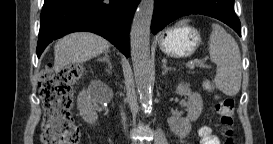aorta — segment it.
Instances as JSON below:
<instances>
[{"label":"aorta","mask_w":273,"mask_h":144,"mask_svg":"<svg viewBox=\"0 0 273 144\" xmlns=\"http://www.w3.org/2000/svg\"><path fill=\"white\" fill-rule=\"evenodd\" d=\"M153 11L154 0H141L135 12L130 32L134 77L140 103L147 111H149L152 106L149 37Z\"/></svg>","instance_id":"aorta-1"}]
</instances>
